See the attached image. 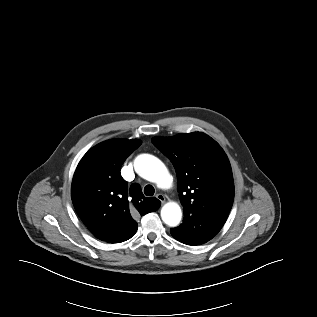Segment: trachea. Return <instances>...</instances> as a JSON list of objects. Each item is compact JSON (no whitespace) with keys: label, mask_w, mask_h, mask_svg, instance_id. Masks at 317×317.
<instances>
[{"label":"trachea","mask_w":317,"mask_h":317,"mask_svg":"<svg viewBox=\"0 0 317 317\" xmlns=\"http://www.w3.org/2000/svg\"><path fill=\"white\" fill-rule=\"evenodd\" d=\"M154 192H155V189H154V187L152 185L145 186L144 194L146 196H152V195H154Z\"/></svg>","instance_id":"trachea-1"}]
</instances>
